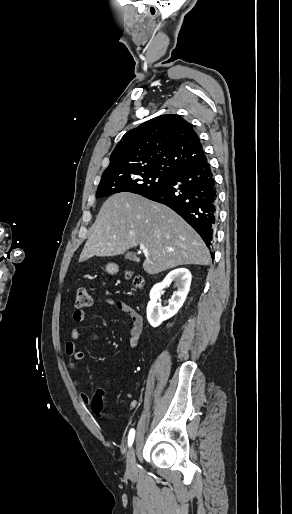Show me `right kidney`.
Segmentation results:
<instances>
[{
	"label": "right kidney",
	"mask_w": 292,
	"mask_h": 514,
	"mask_svg": "<svg viewBox=\"0 0 292 514\" xmlns=\"http://www.w3.org/2000/svg\"><path fill=\"white\" fill-rule=\"evenodd\" d=\"M173 280L176 282L178 290L177 292H173V296L171 300H169V306L162 308L160 304H157V300H160L161 290L170 286ZM191 280L192 276L187 268H177V270L169 272L163 282L153 286L150 292V302H148L147 306V320L153 328H157L164 320H169V318L177 314L186 300V296L190 290Z\"/></svg>",
	"instance_id": "right-kidney-1"
}]
</instances>
